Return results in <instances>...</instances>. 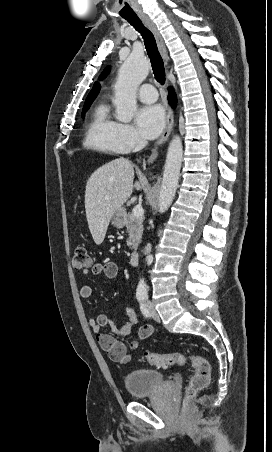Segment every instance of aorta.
Masks as SVG:
<instances>
[{
	"instance_id": "aorta-1",
	"label": "aorta",
	"mask_w": 272,
	"mask_h": 452,
	"mask_svg": "<svg viewBox=\"0 0 272 452\" xmlns=\"http://www.w3.org/2000/svg\"><path fill=\"white\" fill-rule=\"evenodd\" d=\"M149 73V63L143 55L131 54L119 69L117 82L115 85V113L120 121H130L137 111L136 91ZM183 157V146L179 136H174L171 140L166 162L160 195L158 201L159 213H164L170 207L179 181L181 163ZM137 294H146L147 285L143 278L140 279Z\"/></svg>"
}]
</instances>
